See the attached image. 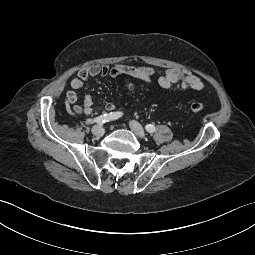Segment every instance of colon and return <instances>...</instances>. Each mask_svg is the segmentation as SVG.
Returning a JSON list of instances; mask_svg holds the SVG:
<instances>
[{"instance_id": "5ec220e1", "label": "colon", "mask_w": 255, "mask_h": 255, "mask_svg": "<svg viewBox=\"0 0 255 255\" xmlns=\"http://www.w3.org/2000/svg\"><path fill=\"white\" fill-rule=\"evenodd\" d=\"M189 107L195 113H201L205 109L204 104L200 101H192Z\"/></svg>"}]
</instances>
